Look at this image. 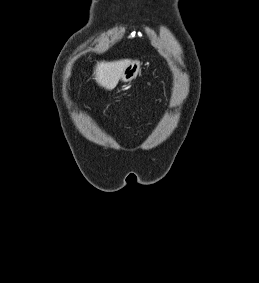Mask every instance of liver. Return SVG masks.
Listing matches in <instances>:
<instances>
[{
	"mask_svg": "<svg viewBox=\"0 0 259 283\" xmlns=\"http://www.w3.org/2000/svg\"><path fill=\"white\" fill-rule=\"evenodd\" d=\"M130 62L129 59L98 62L94 71V79L106 90H112L121 79L122 73Z\"/></svg>",
	"mask_w": 259,
	"mask_h": 283,
	"instance_id": "6515ba94",
	"label": "liver"
}]
</instances>
